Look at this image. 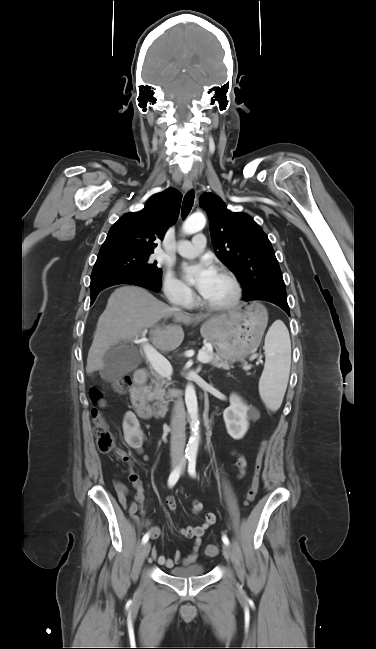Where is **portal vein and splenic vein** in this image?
<instances>
[{"label": "portal vein and splenic vein", "mask_w": 376, "mask_h": 649, "mask_svg": "<svg viewBox=\"0 0 376 649\" xmlns=\"http://www.w3.org/2000/svg\"><path fill=\"white\" fill-rule=\"evenodd\" d=\"M146 333H147V329L143 331L140 342L143 345V351L147 357V360L149 361L150 365L157 373H159L164 377L170 378L173 372L170 362L165 357H163L160 353H158L149 343H147V339L145 338ZM210 360H211V356H209L207 353L199 352L198 361L200 363L206 364L210 362ZM244 369L248 370L250 369V367L245 366Z\"/></svg>", "instance_id": "obj_1"}]
</instances>
